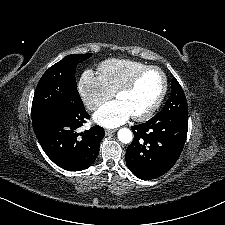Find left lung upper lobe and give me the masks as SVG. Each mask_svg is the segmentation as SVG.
Listing matches in <instances>:
<instances>
[{"label":"left lung upper lobe","instance_id":"1","mask_svg":"<svg viewBox=\"0 0 225 225\" xmlns=\"http://www.w3.org/2000/svg\"><path fill=\"white\" fill-rule=\"evenodd\" d=\"M172 91L163 109L152 119L155 121L188 120V108L185 94L178 81L172 80Z\"/></svg>","mask_w":225,"mask_h":225}]
</instances>
